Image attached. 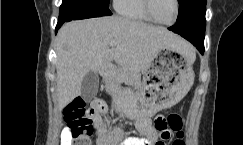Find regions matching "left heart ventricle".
Returning <instances> with one entry per match:
<instances>
[{
    "label": "left heart ventricle",
    "mask_w": 243,
    "mask_h": 145,
    "mask_svg": "<svg viewBox=\"0 0 243 145\" xmlns=\"http://www.w3.org/2000/svg\"><path fill=\"white\" fill-rule=\"evenodd\" d=\"M152 12L160 22H171L175 14L174 0H152Z\"/></svg>",
    "instance_id": "b2bd125f"
}]
</instances>
